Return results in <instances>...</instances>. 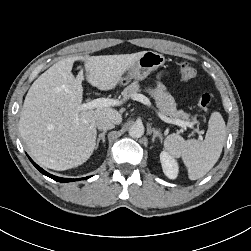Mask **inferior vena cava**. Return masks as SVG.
Masks as SVG:
<instances>
[{
  "mask_svg": "<svg viewBox=\"0 0 251 251\" xmlns=\"http://www.w3.org/2000/svg\"><path fill=\"white\" fill-rule=\"evenodd\" d=\"M116 122L109 116H101L96 121V126L99 130L113 129Z\"/></svg>",
  "mask_w": 251,
  "mask_h": 251,
  "instance_id": "602c4592",
  "label": "inferior vena cava"
}]
</instances>
